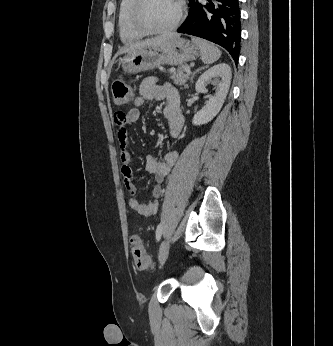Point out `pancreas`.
Returning <instances> with one entry per match:
<instances>
[{
  "mask_svg": "<svg viewBox=\"0 0 333 346\" xmlns=\"http://www.w3.org/2000/svg\"><path fill=\"white\" fill-rule=\"evenodd\" d=\"M185 67H180L176 72L171 73L170 79L173 80L175 85L187 88V81L189 79L190 73H184Z\"/></svg>",
  "mask_w": 333,
  "mask_h": 346,
  "instance_id": "cf45deb5",
  "label": "pancreas"
}]
</instances>
